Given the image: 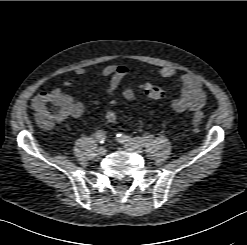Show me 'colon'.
Instances as JSON below:
<instances>
[{
	"mask_svg": "<svg viewBox=\"0 0 247 245\" xmlns=\"http://www.w3.org/2000/svg\"><path fill=\"white\" fill-rule=\"evenodd\" d=\"M139 90L149 99H161L164 97V90L152 83H144L139 86ZM34 110L38 124L44 128L51 127L55 122H61L66 119L71 110V104L60 93H45L34 102ZM118 119L116 102H112L106 112L108 123L114 124ZM203 120L202 112L197 109L192 116V122L198 126Z\"/></svg>",
	"mask_w": 247,
	"mask_h": 245,
	"instance_id": "1",
	"label": "colon"
}]
</instances>
